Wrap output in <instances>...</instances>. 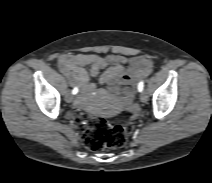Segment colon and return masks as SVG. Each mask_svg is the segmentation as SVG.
Here are the masks:
<instances>
[{"label": "colon", "mask_w": 212, "mask_h": 183, "mask_svg": "<svg viewBox=\"0 0 212 183\" xmlns=\"http://www.w3.org/2000/svg\"><path fill=\"white\" fill-rule=\"evenodd\" d=\"M78 121L86 126L83 142L91 151L123 147L134 129L132 121L113 126L105 118L99 116L87 117L80 114Z\"/></svg>", "instance_id": "1"}]
</instances>
